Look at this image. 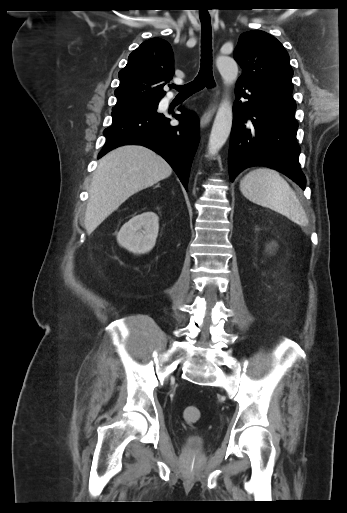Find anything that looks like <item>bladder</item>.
<instances>
[{"label": "bladder", "mask_w": 347, "mask_h": 513, "mask_svg": "<svg viewBox=\"0 0 347 513\" xmlns=\"http://www.w3.org/2000/svg\"><path fill=\"white\" fill-rule=\"evenodd\" d=\"M185 447L191 452H200L205 447V438L200 435H189L185 441Z\"/></svg>", "instance_id": "1"}]
</instances>
